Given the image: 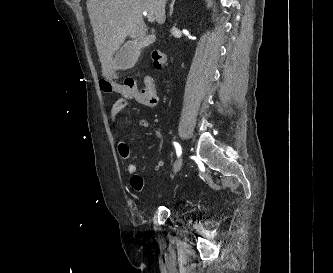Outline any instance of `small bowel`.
I'll list each match as a JSON object with an SVG mask.
<instances>
[{
  "instance_id": "1",
  "label": "small bowel",
  "mask_w": 333,
  "mask_h": 273,
  "mask_svg": "<svg viewBox=\"0 0 333 273\" xmlns=\"http://www.w3.org/2000/svg\"><path fill=\"white\" fill-rule=\"evenodd\" d=\"M145 84L142 85L141 90L138 89L135 95H129L128 98L122 97L118 101H116L110 112L111 124L113 126H117L118 124V114L120 111L128 104V102H137L138 104L153 108L157 105L158 98L156 95L157 85L154 84V81L147 77L145 78ZM148 95H152L151 97ZM139 126L143 128L149 127V122L147 120L141 119L139 121ZM118 152L120 157L123 160H130L132 158V151L130 147L124 141H120L118 143ZM127 172L131 175L130 185L132 189L136 192H141L144 189V181L143 178L136 174L137 167L135 164L130 163L127 165Z\"/></svg>"
}]
</instances>
